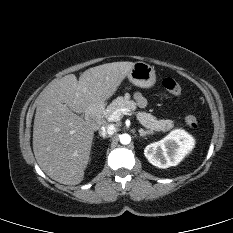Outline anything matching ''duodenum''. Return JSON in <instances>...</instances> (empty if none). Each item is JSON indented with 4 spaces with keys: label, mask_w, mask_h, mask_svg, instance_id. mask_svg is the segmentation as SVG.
<instances>
[{
    "label": "duodenum",
    "mask_w": 233,
    "mask_h": 233,
    "mask_svg": "<svg viewBox=\"0 0 233 233\" xmlns=\"http://www.w3.org/2000/svg\"><path fill=\"white\" fill-rule=\"evenodd\" d=\"M87 120L94 126H98L100 124V111L96 107H92L87 111Z\"/></svg>",
    "instance_id": "duodenum-1"
}]
</instances>
